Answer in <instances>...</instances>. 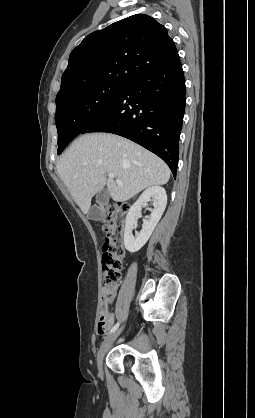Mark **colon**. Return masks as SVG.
<instances>
[{"label": "colon", "instance_id": "1", "mask_svg": "<svg viewBox=\"0 0 255 418\" xmlns=\"http://www.w3.org/2000/svg\"><path fill=\"white\" fill-rule=\"evenodd\" d=\"M129 205L126 202H113L107 204L103 210L105 224L103 230L106 238L102 246V281L106 296L113 295V286L120 280L123 269L125 250L123 246V235ZM106 316L100 314L98 329L104 330Z\"/></svg>", "mask_w": 255, "mask_h": 418}]
</instances>
